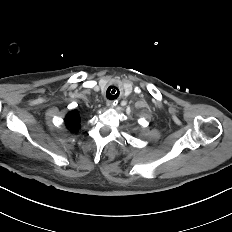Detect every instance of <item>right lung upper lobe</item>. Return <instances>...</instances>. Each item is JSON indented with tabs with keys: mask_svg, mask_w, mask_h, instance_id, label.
<instances>
[{
	"mask_svg": "<svg viewBox=\"0 0 232 232\" xmlns=\"http://www.w3.org/2000/svg\"><path fill=\"white\" fill-rule=\"evenodd\" d=\"M65 123L71 132H76L79 129L80 118L76 110L69 112L66 115Z\"/></svg>",
	"mask_w": 232,
	"mask_h": 232,
	"instance_id": "cb5924a9",
	"label": "right lung upper lobe"
}]
</instances>
